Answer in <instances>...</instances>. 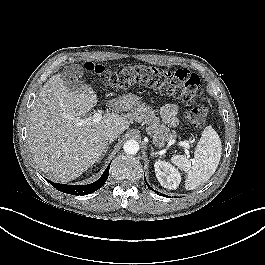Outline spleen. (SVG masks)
Instances as JSON below:
<instances>
[{
    "mask_svg": "<svg viewBox=\"0 0 265 265\" xmlns=\"http://www.w3.org/2000/svg\"><path fill=\"white\" fill-rule=\"evenodd\" d=\"M221 151V140L217 132L211 126H207L198 142L193 159L189 160L184 155L171 158L174 165L187 173V190L196 189L211 178L219 165Z\"/></svg>",
    "mask_w": 265,
    "mask_h": 265,
    "instance_id": "3e777b00",
    "label": "spleen"
}]
</instances>
